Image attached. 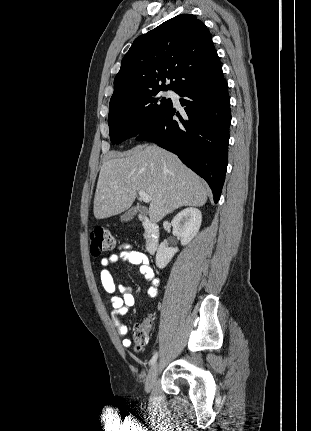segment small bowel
<instances>
[{"instance_id": "obj_1", "label": "small bowel", "mask_w": 311, "mask_h": 431, "mask_svg": "<svg viewBox=\"0 0 311 431\" xmlns=\"http://www.w3.org/2000/svg\"><path fill=\"white\" fill-rule=\"evenodd\" d=\"M118 251V253L112 254L101 260L102 269L100 272V279L103 289L110 297V303L113 308V323L117 328L118 333L121 336L126 337L128 334V328L121 322L120 316L126 314L128 309L133 306L135 298L130 287L117 285L115 283L113 272L109 268L110 265L117 263L120 260L128 261L133 265H137L140 273L150 283L148 292L152 297L157 295L159 280L154 277V271L148 257L144 253L138 251L131 244H120ZM118 292L120 295L117 294ZM122 344L125 347H130L131 340L124 338Z\"/></svg>"}]
</instances>
